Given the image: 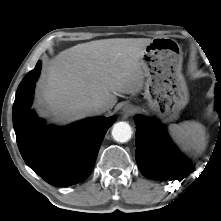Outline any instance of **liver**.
Wrapping results in <instances>:
<instances>
[{
  "label": "liver",
  "instance_id": "1",
  "mask_svg": "<svg viewBox=\"0 0 221 221\" xmlns=\"http://www.w3.org/2000/svg\"><path fill=\"white\" fill-rule=\"evenodd\" d=\"M150 38H114L78 44L60 52L44 68L37 85L41 113L68 123L105 103L112 109L118 93H138L145 71L141 56ZM108 109V110H109Z\"/></svg>",
  "mask_w": 221,
  "mask_h": 221
}]
</instances>
